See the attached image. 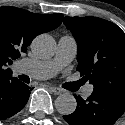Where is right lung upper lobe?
<instances>
[{"instance_id":"1","label":"right lung upper lobe","mask_w":125,"mask_h":125,"mask_svg":"<svg viewBox=\"0 0 125 125\" xmlns=\"http://www.w3.org/2000/svg\"><path fill=\"white\" fill-rule=\"evenodd\" d=\"M62 14H35L16 7H0V79L11 76L7 64L26 52L39 34L57 28Z\"/></svg>"}]
</instances>
